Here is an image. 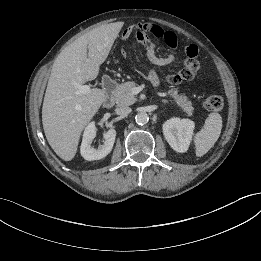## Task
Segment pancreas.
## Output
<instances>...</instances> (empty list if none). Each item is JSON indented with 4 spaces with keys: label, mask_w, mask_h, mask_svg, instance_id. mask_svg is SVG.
Segmentation results:
<instances>
[{
    "label": "pancreas",
    "mask_w": 261,
    "mask_h": 261,
    "mask_svg": "<svg viewBox=\"0 0 261 261\" xmlns=\"http://www.w3.org/2000/svg\"><path fill=\"white\" fill-rule=\"evenodd\" d=\"M136 86L134 81H128L117 86L114 92V99L117 106H128L134 104L137 99L132 94V89ZM176 104L188 115L191 116L194 108L191 101L184 95L178 94V90L172 89L168 91Z\"/></svg>",
    "instance_id": "cf45deb5"
}]
</instances>
